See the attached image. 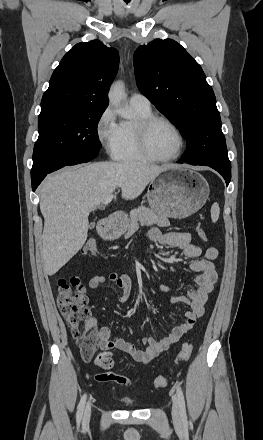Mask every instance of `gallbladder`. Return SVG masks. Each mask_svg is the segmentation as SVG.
Wrapping results in <instances>:
<instances>
[{"label":"gallbladder","mask_w":263,"mask_h":440,"mask_svg":"<svg viewBox=\"0 0 263 440\" xmlns=\"http://www.w3.org/2000/svg\"><path fill=\"white\" fill-rule=\"evenodd\" d=\"M89 227H90V229H92V228L94 227V224H90V226H89Z\"/></svg>","instance_id":"1"}]
</instances>
